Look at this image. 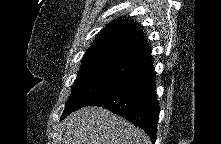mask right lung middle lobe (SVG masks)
Wrapping results in <instances>:
<instances>
[{
	"instance_id": "1",
	"label": "right lung middle lobe",
	"mask_w": 221,
	"mask_h": 144,
	"mask_svg": "<svg viewBox=\"0 0 221 144\" xmlns=\"http://www.w3.org/2000/svg\"><path fill=\"white\" fill-rule=\"evenodd\" d=\"M144 58L124 52L98 53L83 58L82 67L61 119L84 107L92 98L117 83Z\"/></svg>"
}]
</instances>
